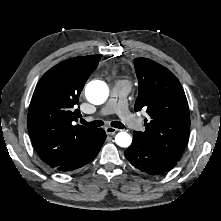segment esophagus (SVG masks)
<instances>
[{
	"instance_id": "esophagus-1",
	"label": "esophagus",
	"mask_w": 221,
	"mask_h": 221,
	"mask_svg": "<svg viewBox=\"0 0 221 221\" xmlns=\"http://www.w3.org/2000/svg\"><path fill=\"white\" fill-rule=\"evenodd\" d=\"M117 131H118V129L113 128V127H106V128H105V132H106V134H108V135H113V134H115Z\"/></svg>"
}]
</instances>
